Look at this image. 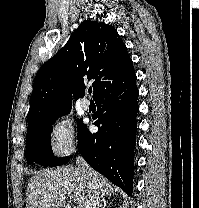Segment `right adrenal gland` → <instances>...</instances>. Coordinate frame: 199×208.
<instances>
[{"label": "right adrenal gland", "mask_w": 199, "mask_h": 208, "mask_svg": "<svg viewBox=\"0 0 199 208\" xmlns=\"http://www.w3.org/2000/svg\"><path fill=\"white\" fill-rule=\"evenodd\" d=\"M106 205H107V202L105 201V202L103 203V205L101 206V208H106Z\"/></svg>", "instance_id": "1"}]
</instances>
